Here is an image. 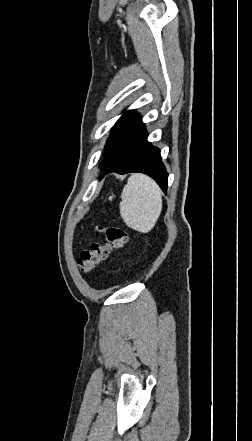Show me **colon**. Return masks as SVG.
Here are the masks:
<instances>
[{"label":"colon","mask_w":252,"mask_h":441,"mask_svg":"<svg viewBox=\"0 0 252 441\" xmlns=\"http://www.w3.org/2000/svg\"><path fill=\"white\" fill-rule=\"evenodd\" d=\"M106 237L105 243H92L88 250L83 251L78 259V266L84 273L93 271L110 254L123 248L128 240L127 232L119 226L99 227Z\"/></svg>","instance_id":"5ec220e1"}]
</instances>
